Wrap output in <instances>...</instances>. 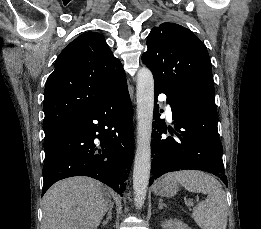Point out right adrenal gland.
Instances as JSON below:
<instances>
[{"label":"right adrenal gland","mask_w":261,"mask_h":229,"mask_svg":"<svg viewBox=\"0 0 261 229\" xmlns=\"http://www.w3.org/2000/svg\"><path fill=\"white\" fill-rule=\"evenodd\" d=\"M112 209H113V203H111V205L109 207V211L107 213L106 221H103V223H102L103 227H104V225H107V223H109L110 219H112Z\"/></svg>","instance_id":"2a0ac1e0"}]
</instances>
